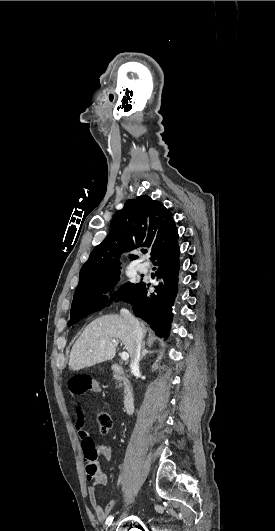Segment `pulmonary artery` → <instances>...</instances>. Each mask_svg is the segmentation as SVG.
Segmentation results:
<instances>
[{
  "instance_id": "1",
  "label": "pulmonary artery",
  "mask_w": 275,
  "mask_h": 531,
  "mask_svg": "<svg viewBox=\"0 0 275 531\" xmlns=\"http://www.w3.org/2000/svg\"><path fill=\"white\" fill-rule=\"evenodd\" d=\"M138 271L142 274H147L149 272V266L147 263H140L137 267Z\"/></svg>"
}]
</instances>
